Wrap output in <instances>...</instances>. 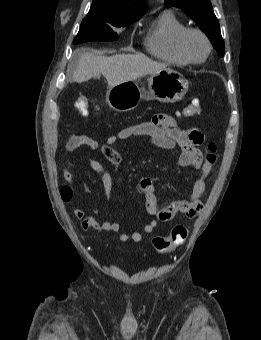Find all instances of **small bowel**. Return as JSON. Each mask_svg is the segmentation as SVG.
I'll return each instance as SVG.
<instances>
[{
  "label": "small bowel",
  "mask_w": 261,
  "mask_h": 340,
  "mask_svg": "<svg viewBox=\"0 0 261 340\" xmlns=\"http://www.w3.org/2000/svg\"><path fill=\"white\" fill-rule=\"evenodd\" d=\"M133 136H148L158 147L168 151H179L177 163L180 167L193 166L199 170L201 175L193 183L190 189L188 200H178L170 205L158 208L157 193L153 181L149 178L142 179L138 184L140 193L144 195L147 212L155 216L143 228L144 233H151L157 227L158 222H167L174 218L178 213H182L188 218L197 216L203 208L202 197L206 192V178L211 172L212 165L207 158L198 149L204 140L203 133L196 128L181 129L175 118L169 114H158L150 121L132 125L123 128L116 134L108 136L104 143H99L86 135H74L67 141V150L73 152L79 147L86 146L92 150H100L105 159L112 165L117 166L121 162L120 153L113 148L118 141L125 140ZM89 167L94 172L100 174L105 197H109L112 192V176L106 170L101 162L96 159L89 160ZM63 177L69 187H74V177L68 169H64ZM73 216L81 222L80 226L83 231L93 229L98 232L121 231V225L118 222L103 221L99 222L92 216H86L85 211L75 205ZM121 242H140L142 233L135 231L132 233H121L119 236Z\"/></svg>",
  "instance_id": "c3829d8e"
}]
</instances>
